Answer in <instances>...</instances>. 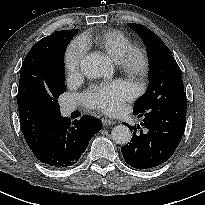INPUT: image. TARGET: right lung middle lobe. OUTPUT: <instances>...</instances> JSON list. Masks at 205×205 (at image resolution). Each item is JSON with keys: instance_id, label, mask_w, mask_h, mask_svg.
Listing matches in <instances>:
<instances>
[{"instance_id": "right-lung-middle-lobe-1", "label": "right lung middle lobe", "mask_w": 205, "mask_h": 205, "mask_svg": "<svg viewBox=\"0 0 205 205\" xmlns=\"http://www.w3.org/2000/svg\"><path fill=\"white\" fill-rule=\"evenodd\" d=\"M69 41H70V38L62 41L56 50V58L52 65L51 74H50L49 94L46 97V103H47L48 108L53 113L58 114V115L60 114V111H59L60 107H59L57 99L65 91L64 53H65V49Z\"/></svg>"}]
</instances>
